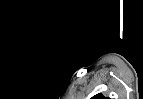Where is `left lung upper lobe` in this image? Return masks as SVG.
Here are the masks:
<instances>
[{"label":"left lung upper lobe","instance_id":"5c2ea615","mask_svg":"<svg viewBox=\"0 0 143 99\" xmlns=\"http://www.w3.org/2000/svg\"><path fill=\"white\" fill-rule=\"evenodd\" d=\"M91 99H109L108 97H104L101 93L93 96Z\"/></svg>","mask_w":143,"mask_h":99}]
</instances>
